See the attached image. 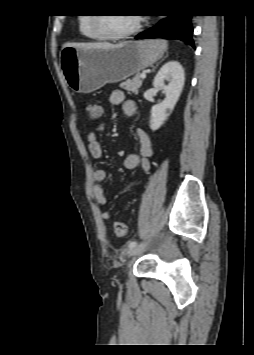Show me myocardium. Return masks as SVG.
<instances>
[{"label": "myocardium", "mask_w": 254, "mask_h": 355, "mask_svg": "<svg viewBox=\"0 0 254 355\" xmlns=\"http://www.w3.org/2000/svg\"><path fill=\"white\" fill-rule=\"evenodd\" d=\"M141 27V22L139 18H136V22L135 25L123 32V33H119V34H113L108 32L105 27H104V18L100 17V16H96L93 18V28L95 30V32L102 38V39H106V40H124L127 39L133 35H135Z\"/></svg>", "instance_id": "f54148a6"}]
</instances>
